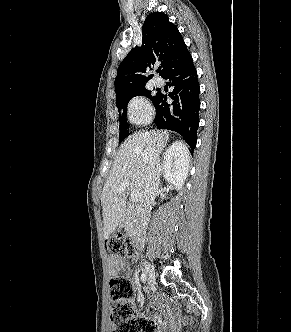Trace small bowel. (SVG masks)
<instances>
[{"label":"small bowel","mask_w":291,"mask_h":332,"mask_svg":"<svg viewBox=\"0 0 291 332\" xmlns=\"http://www.w3.org/2000/svg\"><path fill=\"white\" fill-rule=\"evenodd\" d=\"M109 265H110V273L112 275H116L117 273H119L121 271L126 272V273L129 272V267H128L127 263L118 257L111 256L109 258ZM154 320L156 322H160V317L156 316L154 318ZM163 326L170 327V326H172V322L165 323V324H163Z\"/></svg>","instance_id":"c3829d8e"}]
</instances>
